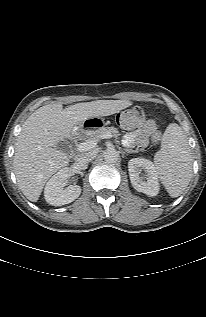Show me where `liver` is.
<instances>
[{
  "label": "liver",
  "instance_id": "liver-1",
  "mask_svg": "<svg viewBox=\"0 0 206 317\" xmlns=\"http://www.w3.org/2000/svg\"><path fill=\"white\" fill-rule=\"evenodd\" d=\"M132 105L129 100H97L70 105L48 104L32 113L17 138L13 160L19 189L37 202L47 180L69 164L56 145L70 138L73 129L91 117L109 116Z\"/></svg>",
  "mask_w": 206,
  "mask_h": 317
}]
</instances>
